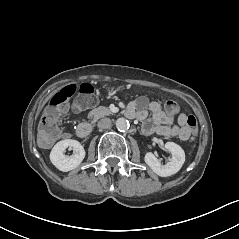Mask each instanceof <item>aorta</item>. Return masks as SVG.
<instances>
[{
	"label": "aorta",
	"instance_id": "obj_1",
	"mask_svg": "<svg viewBox=\"0 0 239 239\" xmlns=\"http://www.w3.org/2000/svg\"><path fill=\"white\" fill-rule=\"evenodd\" d=\"M128 127H129V122L125 118H119L116 121V128L118 131H121V132L126 131Z\"/></svg>",
	"mask_w": 239,
	"mask_h": 239
}]
</instances>
